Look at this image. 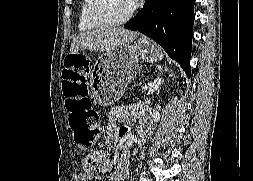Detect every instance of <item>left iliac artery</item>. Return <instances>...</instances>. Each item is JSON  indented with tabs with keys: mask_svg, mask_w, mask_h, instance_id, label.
<instances>
[{
	"mask_svg": "<svg viewBox=\"0 0 253 181\" xmlns=\"http://www.w3.org/2000/svg\"><path fill=\"white\" fill-rule=\"evenodd\" d=\"M140 181H147L144 172L141 173Z\"/></svg>",
	"mask_w": 253,
	"mask_h": 181,
	"instance_id": "44dca946",
	"label": "left iliac artery"
}]
</instances>
